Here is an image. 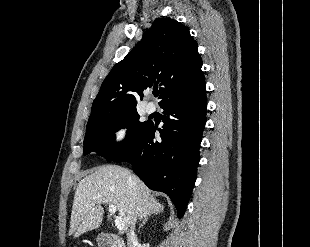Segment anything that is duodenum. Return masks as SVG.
I'll use <instances>...</instances> for the list:
<instances>
[{
  "instance_id": "duodenum-1",
  "label": "duodenum",
  "mask_w": 310,
  "mask_h": 247,
  "mask_svg": "<svg viewBox=\"0 0 310 247\" xmlns=\"http://www.w3.org/2000/svg\"><path fill=\"white\" fill-rule=\"evenodd\" d=\"M99 241L101 247H126L120 238L112 233H102Z\"/></svg>"
}]
</instances>
